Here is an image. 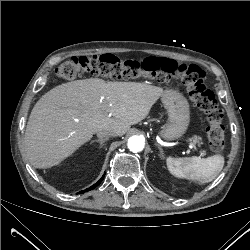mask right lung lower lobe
Wrapping results in <instances>:
<instances>
[{
	"mask_svg": "<svg viewBox=\"0 0 250 250\" xmlns=\"http://www.w3.org/2000/svg\"><path fill=\"white\" fill-rule=\"evenodd\" d=\"M103 178H104V175L102 176V178H101L97 183H95L94 185H92V186L89 187L88 189H86V190H84V191H81V193L87 192V191L92 190V189H94L95 187H97V186L101 183V181L103 180Z\"/></svg>",
	"mask_w": 250,
	"mask_h": 250,
	"instance_id": "obj_1",
	"label": "right lung lower lobe"
}]
</instances>
